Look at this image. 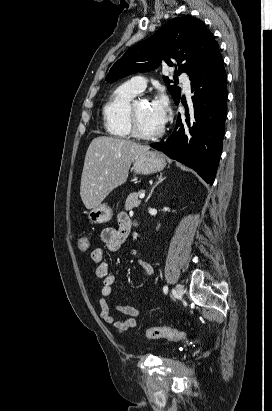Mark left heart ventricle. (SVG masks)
<instances>
[{
	"mask_svg": "<svg viewBox=\"0 0 272 411\" xmlns=\"http://www.w3.org/2000/svg\"><path fill=\"white\" fill-rule=\"evenodd\" d=\"M135 112L139 128L146 133H153L160 129V125L153 119L149 104L145 100H138L135 105Z\"/></svg>",
	"mask_w": 272,
	"mask_h": 411,
	"instance_id": "obj_1",
	"label": "left heart ventricle"
}]
</instances>
